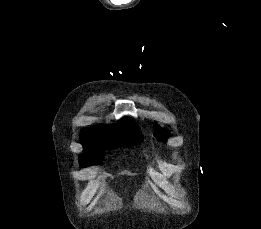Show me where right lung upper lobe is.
Returning a JSON list of instances; mask_svg holds the SVG:
<instances>
[{"label": "right lung upper lobe", "instance_id": "right-lung-upper-lobe-1", "mask_svg": "<svg viewBox=\"0 0 261 229\" xmlns=\"http://www.w3.org/2000/svg\"><path fill=\"white\" fill-rule=\"evenodd\" d=\"M136 125L131 118L121 120L116 126L97 125L84 129L81 132L80 139L84 150H105L127 145L121 130L128 126Z\"/></svg>", "mask_w": 261, "mask_h": 229}]
</instances>
